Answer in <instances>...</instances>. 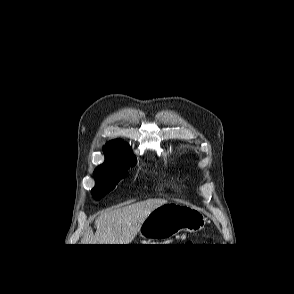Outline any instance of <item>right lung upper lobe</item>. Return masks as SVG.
I'll return each mask as SVG.
<instances>
[{"label":"right lung upper lobe","mask_w":294,"mask_h":294,"mask_svg":"<svg viewBox=\"0 0 294 294\" xmlns=\"http://www.w3.org/2000/svg\"><path fill=\"white\" fill-rule=\"evenodd\" d=\"M123 141L112 140L104 146L105 161H134L135 156Z\"/></svg>","instance_id":"1"}]
</instances>
